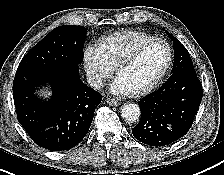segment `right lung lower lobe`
Masks as SVG:
<instances>
[{
    "label": "right lung lower lobe",
    "mask_w": 224,
    "mask_h": 175,
    "mask_svg": "<svg viewBox=\"0 0 224 175\" xmlns=\"http://www.w3.org/2000/svg\"><path fill=\"white\" fill-rule=\"evenodd\" d=\"M46 82L53 89L50 99L35 94ZM13 98L18 121L30 138L45 149L62 151L86 136L102 95L81 81L78 66H69L17 70Z\"/></svg>",
    "instance_id": "right-lung-lower-lobe-1"
}]
</instances>
